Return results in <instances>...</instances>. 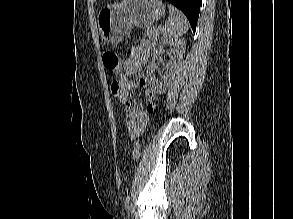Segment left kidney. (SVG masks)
Here are the masks:
<instances>
[{
	"instance_id": "1",
	"label": "left kidney",
	"mask_w": 293,
	"mask_h": 219,
	"mask_svg": "<svg viewBox=\"0 0 293 219\" xmlns=\"http://www.w3.org/2000/svg\"><path fill=\"white\" fill-rule=\"evenodd\" d=\"M166 45H170V51L168 52L170 60L165 67V73L162 79L158 80L152 75L154 65H150L147 68V80L149 86L154 92L159 94L164 93L172 83L173 77L176 73V66L180 63L183 57L185 47V43L181 39L164 37L159 41V53L163 52Z\"/></svg>"
}]
</instances>
